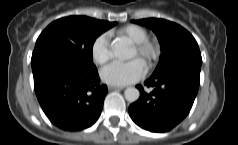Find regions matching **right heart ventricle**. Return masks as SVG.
<instances>
[{
  "instance_id": "1",
  "label": "right heart ventricle",
  "mask_w": 238,
  "mask_h": 145,
  "mask_svg": "<svg viewBox=\"0 0 238 145\" xmlns=\"http://www.w3.org/2000/svg\"><path fill=\"white\" fill-rule=\"evenodd\" d=\"M117 36L123 38L130 42L131 44H136L147 38V31L138 25H128L117 31Z\"/></svg>"
}]
</instances>
